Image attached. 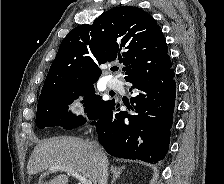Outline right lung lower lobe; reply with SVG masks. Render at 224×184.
Segmentation results:
<instances>
[{
    "label": "right lung lower lobe",
    "instance_id": "1",
    "mask_svg": "<svg viewBox=\"0 0 224 184\" xmlns=\"http://www.w3.org/2000/svg\"><path fill=\"white\" fill-rule=\"evenodd\" d=\"M174 76L170 64L132 77L126 80L135 94L129 111H120L114 100L105 105L91 124L110 155L148 163H157L165 157L176 97Z\"/></svg>",
    "mask_w": 224,
    "mask_h": 184
}]
</instances>
